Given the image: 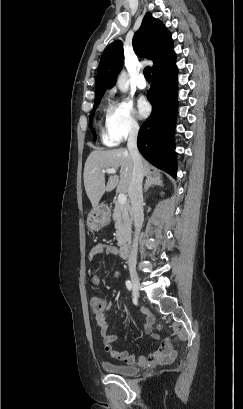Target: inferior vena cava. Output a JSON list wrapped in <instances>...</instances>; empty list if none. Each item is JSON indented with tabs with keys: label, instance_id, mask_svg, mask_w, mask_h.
Returning a JSON list of instances; mask_svg holds the SVG:
<instances>
[{
	"label": "inferior vena cava",
	"instance_id": "1",
	"mask_svg": "<svg viewBox=\"0 0 243 409\" xmlns=\"http://www.w3.org/2000/svg\"><path fill=\"white\" fill-rule=\"evenodd\" d=\"M139 126L132 125L129 131V137L127 142V148L132 157L133 171L132 179L128 189V194L131 200V212L134 219V239L132 244L131 253L128 259L129 264L136 263L137 250H138V238L141 231L144 215H143V192L142 182L144 177V170L142 164V158L137 148V136Z\"/></svg>",
	"mask_w": 243,
	"mask_h": 409
}]
</instances>
